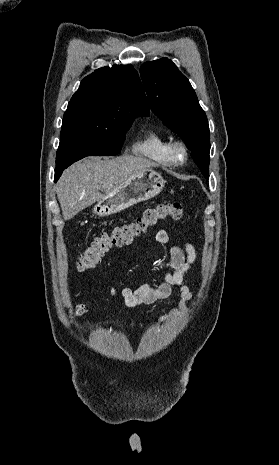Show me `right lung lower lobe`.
Listing matches in <instances>:
<instances>
[{
  "instance_id": "obj_1",
  "label": "right lung lower lobe",
  "mask_w": 279,
  "mask_h": 465,
  "mask_svg": "<svg viewBox=\"0 0 279 465\" xmlns=\"http://www.w3.org/2000/svg\"><path fill=\"white\" fill-rule=\"evenodd\" d=\"M64 169H65V168H61V169L56 168V169H55V181L58 180V178L61 176L62 171H63Z\"/></svg>"
}]
</instances>
